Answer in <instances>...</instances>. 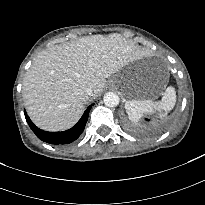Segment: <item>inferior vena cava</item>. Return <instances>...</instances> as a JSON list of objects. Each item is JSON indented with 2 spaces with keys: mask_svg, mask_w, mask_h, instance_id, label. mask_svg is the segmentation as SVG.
<instances>
[{
  "mask_svg": "<svg viewBox=\"0 0 205 205\" xmlns=\"http://www.w3.org/2000/svg\"><path fill=\"white\" fill-rule=\"evenodd\" d=\"M85 93H86L87 95L91 96V95H92V93H93L92 88L87 87V88L85 89Z\"/></svg>",
  "mask_w": 205,
  "mask_h": 205,
  "instance_id": "obj_1",
  "label": "inferior vena cava"
}]
</instances>
